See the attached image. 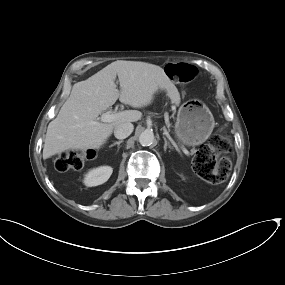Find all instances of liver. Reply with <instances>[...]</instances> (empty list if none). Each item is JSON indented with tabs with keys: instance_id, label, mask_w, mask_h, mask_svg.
Returning a JSON list of instances; mask_svg holds the SVG:
<instances>
[{
	"instance_id": "obj_1",
	"label": "liver",
	"mask_w": 285,
	"mask_h": 285,
	"mask_svg": "<svg viewBox=\"0 0 285 285\" xmlns=\"http://www.w3.org/2000/svg\"><path fill=\"white\" fill-rule=\"evenodd\" d=\"M117 76L120 91L115 84ZM159 89L165 90L171 102L179 105L180 94L164 70L160 66L138 61L112 62L87 80L75 83L57 117L48 125L43 158L67 150L101 147L118 124L136 122L141 119L142 113L125 110L109 123L97 121L99 114L118 98L133 108L148 106Z\"/></svg>"
}]
</instances>
